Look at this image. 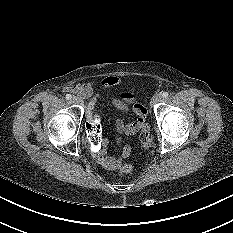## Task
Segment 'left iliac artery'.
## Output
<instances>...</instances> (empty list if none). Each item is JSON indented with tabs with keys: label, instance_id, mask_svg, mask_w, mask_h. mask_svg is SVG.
<instances>
[{
	"label": "left iliac artery",
	"instance_id": "obj_1",
	"mask_svg": "<svg viewBox=\"0 0 233 233\" xmlns=\"http://www.w3.org/2000/svg\"><path fill=\"white\" fill-rule=\"evenodd\" d=\"M168 95H169L168 92H163V94H162V96H163L164 98L168 97Z\"/></svg>",
	"mask_w": 233,
	"mask_h": 233
}]
</instances>
